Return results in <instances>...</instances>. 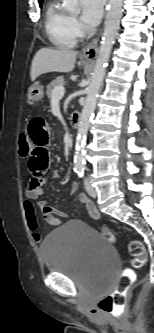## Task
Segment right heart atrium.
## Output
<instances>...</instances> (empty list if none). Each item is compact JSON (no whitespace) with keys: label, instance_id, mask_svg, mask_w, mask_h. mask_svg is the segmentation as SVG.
Wrapping results in <instances>:
<instances>
[{"label":"right heart atrium","instance_id":"obj_1","mask_svg":"<svg viewBox=\"0 0 154 333\" xmlns=\"http://www.w3.org/2000/svg\"><path fill=\"white\" fill-rule=\"evenodd\" d=\"M71 26H72V29H73L74 33L77 36L82 35L83 27H82L81 23L79 22V20L77 18L71 17Z\"/></svg>","mask_w":154,"mask_h":333}]
</instances>
